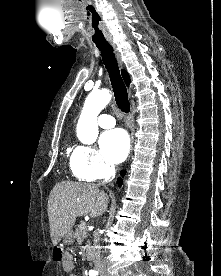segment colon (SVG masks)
<instances>
[{
    "mask_svg": "<svg viewBox=\"0 0 221 276\" xmlns=\"http://www.w3.org/2000/svg\"><path fill=\"white\" fill-rule=\"evenodd\" d=\"M64 251H66V246H53L54 261H63L65 257Z\"/></svg>",
    "mask_w": 221,
    "mask_h": 276,
    "instance_id": "5ec220e1",
    "label": "colon"
}]
</instances>
